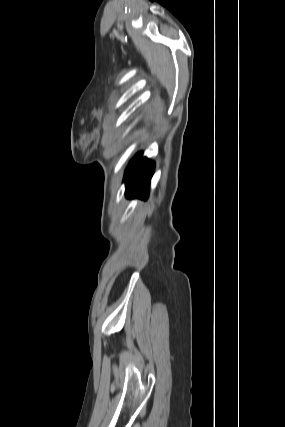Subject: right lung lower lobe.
<instances>
[{"label":"right lung lower lobe","instance_id":"98d812e1","mask_svg":"<svg viewBox=\"0 0 285 427\" xmlns=\"http://www.w3.org/2000/svg\"><path fill=\"white\" fill-rule=\"evenodd\" d=\"M154 162L137 154L126 169L124 181L126 183V196L140 195L146 197L149 191L150 179L154 173Z\"/></svg>","mask_w":285,"mask_h":427}]
</instances>
